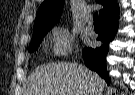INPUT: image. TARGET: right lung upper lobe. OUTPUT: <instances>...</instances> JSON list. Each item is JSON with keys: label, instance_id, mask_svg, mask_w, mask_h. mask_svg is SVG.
Here are the masks:
<instances>
[{"label": "right lung upper lobe", "instance_id": "right-lung-upper-lobe-1", "mask_svg": "<svg viewBox=\"0 0 135 95\" xmlns=\"http://www.w3.org/2000/svg\"><path fill=\"white\" fill-rule=\"evenodd\" d=\"M104 8L99 11L101 21L118 16L116 0H96ZM64 0H44L40 5L34 24V32L50 30L61 16Z\"/></svg>", "mask_w": 135, "mask_h": 95}]
</instances>
